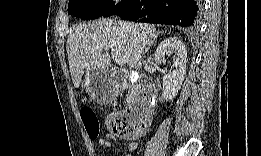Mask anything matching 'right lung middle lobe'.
<instances>
[{"label":"right lung middle lobe","instance_id":"1","mask_svg":"<svg viewBox=\"0 0 261 156\" xmlns=\"http://www.w3.org/2000/svg\"><path fill=\"white\" fill-rule=\"evenodd\" d=\"M115 2L111 0H70L68 13L81 19H95L114 7Z\"/></svg>","mask_w":261,"mask_h":156}]
</instances>
